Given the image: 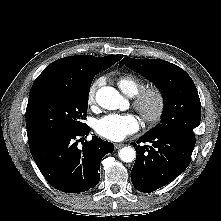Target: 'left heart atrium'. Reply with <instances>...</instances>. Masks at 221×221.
<instances>
[{
	"label": "left heart atrium",
	"instance_id": "obj_1",
	"mask_svg": "<svg viewBox=\"0 0 221 221\" xmlns=\"http://www.w3.org/2000/svg\"><path fill=\"white\" fill-rule=\"evenodd\" d=\"M139 126V120L134 114H109L97 121L95 130L105 139L121 141L135 133Z\"/></svg>",
	"mask_w": 221,
	"mask_h": 221
}]
</instances>
